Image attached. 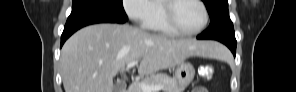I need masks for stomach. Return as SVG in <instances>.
<instances>
[{
	"label": "stomach",
	"instance_id": "stomach-1",
	"mask_svg": "<svg viewBox=\"0 0 296 92\" xmlns=\"http://www.w3.org/2000/svg\"><path fill=\"white\" fill-rule=\"evenodd\" d=\"M195 69L189 62H182L175 71V80L180 87H187L193 80Z\"/></svg>",
	"mask_w": 296,
	"mask_h": 92
}]
</instances>
